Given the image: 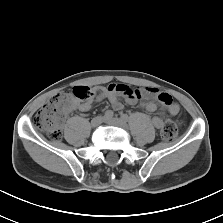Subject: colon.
<instances>
[{
    "label": "colon",
    "mask_w": 223,
    "mask_h": 223,
    "mask_svg": "<svg viewBox=\"0 0 223 223\" xmlns=\"http://www.w3.org/2000/svg\"><path fill=\"white\" fill-rule=\"evenodd\" d=\"M128 94H134L129 91ZM93 89L89 86H76L70 91H61L51 97L36 113L34 125L36 129L52 141L62 137V125L68 112L72 109L75 99L87 100L93 97ZM162 138L172 142L177 136V126L174 121L166 120L161 127Z\"/></svg>",
    "instance_id": "5ec220e1"
}]
</instances>
